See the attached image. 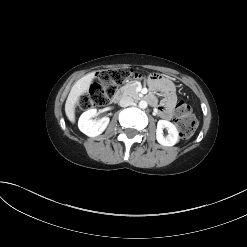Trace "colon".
I'll list each match as a JSON object with an SVG mask.
<instances>
[{"label":"colon","mask_w":247,"mask_h":247,"mask_svg":"<svg viewBox=\"0 0 247 247\" xmlns=\"http://www.w3.org/2000/svg\"><path fill=\"white\" fill-rule=\"evenodd\" d=\"M135 77L137 74L129 68L100 71L97 74L96 82L80 96L77 109L100 108L108 105L115 96L117 85ZM174 120L181 137L188 138L193 135L197 127V120L190 106L184 101L177 104Z\"/></svg>","instance_id":"1"}]
</instances>
